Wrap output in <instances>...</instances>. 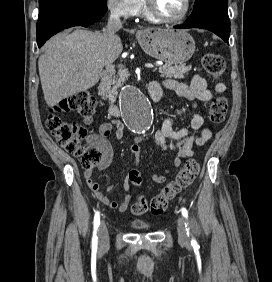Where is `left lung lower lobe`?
<instances>
[{"instance_id":"obj_1","label":"left lung lower lobe","mask_w":272,"mask_h":282,"mask_svg":"<svg viewBox=\"0 0 272 282\" xmlns=\"http://www.w3.org/2000/svg\"><path fill=\"white\" fill-rule=\"evenodd\" d=\"M175 28H203L210 30L228 42L230 21L227 0H196L189 19Z\"/></svg>"}]
</instances>
